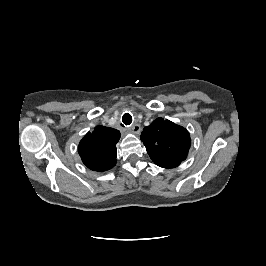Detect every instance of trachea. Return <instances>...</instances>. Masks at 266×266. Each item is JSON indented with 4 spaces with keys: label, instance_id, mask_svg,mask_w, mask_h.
I'll return each mask as SVG.
<instances>
[{
    "label": "trachea",
    "instance_id": "obj_1",
    "mask_svg": "<svg viewBox=\"0 0 266 266\" xmlns=\"http://www.w3.org/2000/svg\"><path fill=\"white\" fill-rule=\"evenodd\" d=\"M122 122L125 125H130L132 123V116L129 113H125L122 117Z\"/></svg>",
    "mask_w": 266,
    "mask_h": 266
}]
</instances>
